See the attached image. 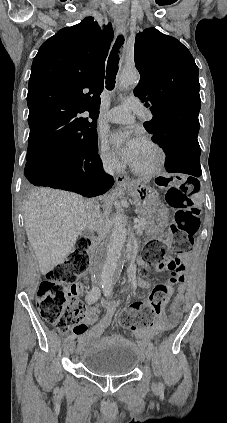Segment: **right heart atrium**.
Instances as JSON below:
<instances>
[{
    "label": "right heart atrium",
    "mask_w": 227,
    "mask_h": 423,
    "mask_svg": "<svg viewBox=\"0 0 227 423\" xmlns=\"http://www.w3.org/2000/svg\"><path fill=\"white\" fill-rule=\"evenodd\" d=\"M98 158L105 170L111 173L119 172L122 169V163L117 155L109 148L104 139L98 143Z\"/></svg>",
    "instance_id": "obj_1"
}]
</instances>
